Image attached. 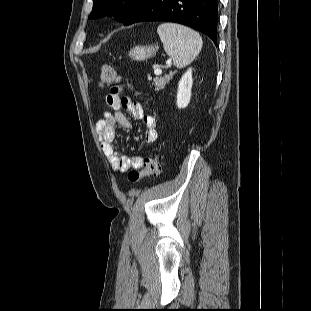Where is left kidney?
<instances>
[{
  "mask_svg": "<svg viewBox=\"0 0 311 311\" xmlns=\"http://www.w3.org/2000/svg\"><path fill=\"white\" fill-rule=\"evenodd\" d=\"M192 69L189 68L182 76L178 83L177 90V106L178 108H185L190 102L192 89Z\"/></svg>",
  "mask_w": 311,
  "mask_h": 311,
  "instance_id": "left-kidney-1",
  "label": "left kidney"
}]
</instances>
